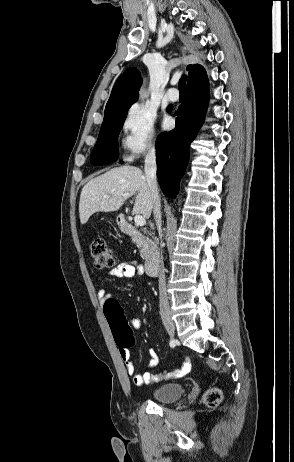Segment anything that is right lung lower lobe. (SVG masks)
Returning <instances> with one entry per match:
<instances>
[{
	"mask_svg": "<svg viewBox=\"0 0 294 462\" xmlns=\"http://www.w3.org/2000/svg\"><path fill=\"white\" fill-rule=\"evenodd\" d=\"M209 99L206 73L187 84L186 101L175 112L176 127L156 141L157 176L165 195L175 198L189 159V146L204 121Z\"/></svg>",
	"mask_w": 294,
	"mask_h": 462,
	"instance_id": "98d812e1",
	"label": "right lung lower lobe"
}]
</instances>
